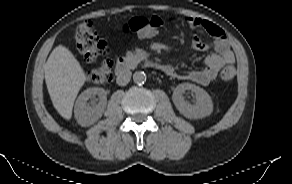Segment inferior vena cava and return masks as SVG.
<instances>
[{"mask_svg":"<svg viewBox=\"0 0 292 184\" xmlns=\"http://www.w3.org/2000/svg\"><path fill=\"white\" fill-rule=\"evenodd\" d=\"M131 71L128 69L118 72L116 82L120 86H125L129 83L131 79Z\"/></svg>","mask_w":292,"mask_h":184,"instance_id":"obj_1","label":"inferior vena cava"}]
</instances>
